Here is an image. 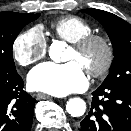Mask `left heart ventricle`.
I'll list each match as a JSON object with an SVG mask.
<instances>
[{
    "label": "left heart ventricle",
    "mask_w": 131,
    "mask_h": 131,
    "mask_svg": "<svg viewBox=\"0 0 131 131\" xmlns=\"http://www.w3.org/2000/svg\"><path fill=\"white\" fill-rule=\"evenodd\" d=\"M103 59V50L101 47L96 46L84 55L77 54L72 48L67 55V61H76L83 69L96 67L100 65Z\"/></svg>",
    "instance_id": "1"
}]
</instances>
